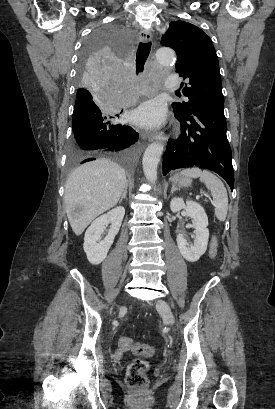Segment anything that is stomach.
Listing matches in <instances>:
<instances>
[{
    "instance_id": "0dacf381",
    "label": "stomach",
    "mask_w": 275,
    "mask_h": 409,
    "mask_svg": "<svg viewBox=\"0 0 275 409\" xmlns=\"http://www.w3.org/2000/svg\"><path fill=\"white\" fill-rule=\"evenodd\" d=\"M171 182L173 184H177V186H190L192 180L189 176H182V174H174L171 178Z\"/></svg>"
}]
</instances>
